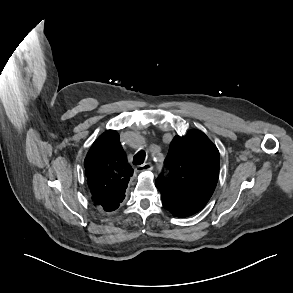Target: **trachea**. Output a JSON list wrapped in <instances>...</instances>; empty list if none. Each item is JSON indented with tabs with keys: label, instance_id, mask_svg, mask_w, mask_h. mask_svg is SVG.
Segmentation results:
<instances>
[{
	"label": "trachea",
	"instance_id": "1",
	"mask_svg": "<svg viewBox=\"0 0 293 293\" xmlns=\"http://www.w3.org/2000/svg\"><path fill=\"white\" fill-rule=\"evenodd\" d=\"M144 159H145V152L139 151L133 158V164L141 165L144 162Z\"/></svg>",
	"mask_w": 293,
	"mask_h": 293
}]
</instances>
